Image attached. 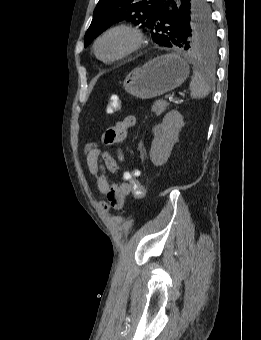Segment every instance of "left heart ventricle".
<instances>
[{
  "instance_id": "left-heart-ventricle-1",
  "label": "left heart ventricle",
  "mask_w": 261,
  "mask_h": 340,
  "mask_svg": "<svg viewBox=\"0 0 261 340\" xmlns=\"http://www.w3.org/2000/svg\"><path fill=\"white\" fill-rule=\"evenodd\" d=\"M131 37L124 32H114L107 35L99 45V54L103 58L114 57L130 47Z\"/></svg>"
}]
</instances>
